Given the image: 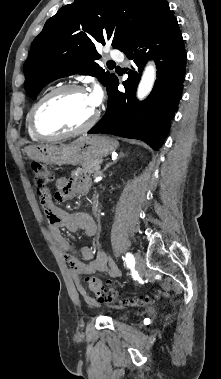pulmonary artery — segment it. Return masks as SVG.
<instances>
[{"label":"pulmonary artery","mask_w":221,"mask_h":379,"mask_svg":"<svg viewBox=\"0 0 221 379\" xmlns=\"http://www.w3.org/2000/svg\"><path fill=\"white\" fill-rule=\"evenodd\" d=\"M109 55L114 60H117V61H123L124 60L123 54L119 51H111Z\"/></svg>","instance_id":"1"}]
</instances>
